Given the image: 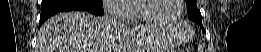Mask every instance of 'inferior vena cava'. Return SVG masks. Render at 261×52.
Here are the masks:
<instances>
[{
	"mask_svg": "<svg viewBox=\"0 0 261 52\" xmlns=\"http://www.w3.org/2000/svg\"><path fill=\"white\" fill-rule=\"evenodd\" d=\"M111 21L113 24H118V21H116V19H114L113 17H110Z\"/></svg>",
	"mask_w": 261,
	"mask_h": 52,
	"instance_id": "inferior-vena-cava-1",
	"label": "inferior vena cava"
}]
</instances>
